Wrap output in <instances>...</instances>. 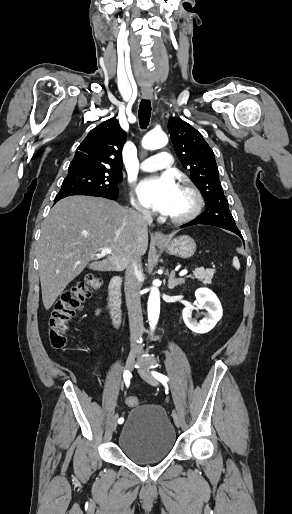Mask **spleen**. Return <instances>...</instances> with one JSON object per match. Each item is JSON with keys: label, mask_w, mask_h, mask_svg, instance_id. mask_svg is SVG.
<instances>
[{"label": "spleen", "mask_w": 292, "mask_h": 514, "mask_svg": "<svg viewBox=\"0 0 292 514\" xmlns=\"http://www.w3.org/2000/svg\"><path fill=\"white\" fill-rule=\"evenodd\" d=\"M233 266L236 268V270H240V262L238 258H233Z\"/></svg>", "instance_id": "obj_1"}]
</instances>
